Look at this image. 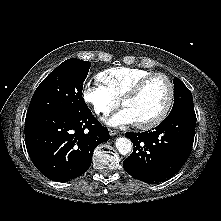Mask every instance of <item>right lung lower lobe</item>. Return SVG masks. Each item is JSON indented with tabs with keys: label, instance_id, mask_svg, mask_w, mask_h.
Instances as JSON below:
<instances>
[{
	"label": "right lung lower lobe",
	"instance_id": "right-lung-lower-lobe-1",
	"mask_svg": "<svg viewBox=\"0 0 221 221\" xmlns=\"http://www.w3.org/2000/svg\"><path fill=\"white\" fill-rule=\"evenodd\" d=\"M25 141L35 167L58 182L72 180L90 167L95 147L109 132L91 111L76 115L46 113L26 117Z\"/></svg>",
	"mask_w": 221,
	"mask_h": 221
}]
</instances>
